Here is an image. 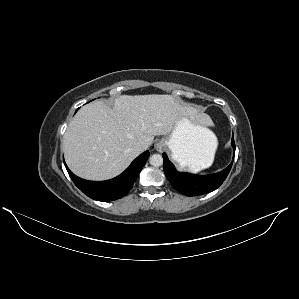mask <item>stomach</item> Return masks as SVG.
Segmentation results:
<instances>
[{
    "label": "stomach",
    "instance_id": "stomach-1",
    "mask_svg": "<svg viewBox=\"0 0 299 299\" xmlns=\"http://www.w3.org/2000/svg\"><path fill=\"white\" fill-rule=\"evenodd\" d=\"M162 141L171 150L173 158L184 167H203L212 163L218 145L216 136H210L209 129L185 115L175 121L170 135Z\"/></svg>",
    "mask_w": 299,
    "mask_h": 299
}]
</instances>
